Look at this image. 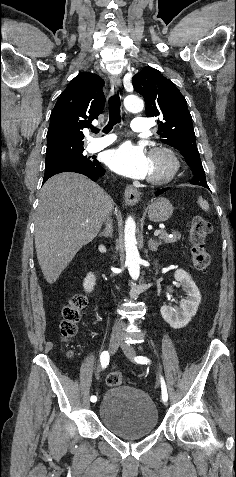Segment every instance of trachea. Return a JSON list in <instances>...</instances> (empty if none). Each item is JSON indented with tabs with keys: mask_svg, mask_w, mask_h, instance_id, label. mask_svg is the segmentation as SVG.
<instances>
[{
	"mask_svg": "<svg viewBox=\"0 0 236 477\" xmlns=\"http://www.w3.org/2000/svg\"><path fill=\"white\" fill-rule=\"evenodd\" d=\"M120 106L121 102L119 95L114 94L109 98V122L103 129L104 133H109L114 125L121 122ZM91 131L93 133H98L100 129L93 127L91 128Z\"/></svg>",
	"mask_w": 236,
	"mask_h": 477,
	"instance_id": "obj_1",
	"label": "trachea"
}]
</instances>
